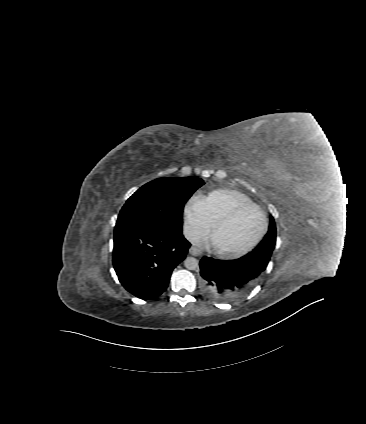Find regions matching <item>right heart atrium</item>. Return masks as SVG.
<instances>
[{
  "label": "right heart atrium",
  "instance_id": "obj_1",
  "mask_svg": "<svg viewBox=\"0 0 366 424\" xmlns=\"http://www.w3.org/2000/svg\"><path fill=\"white\" fill-rule=\"evenodd\" d=\"M182 216L185 235L191 241L204 237L212 226L200 196H192L186 201Z\"/></svg>",
  "mask_w": 366,
  "mask_h": 424
}]
</instances>
